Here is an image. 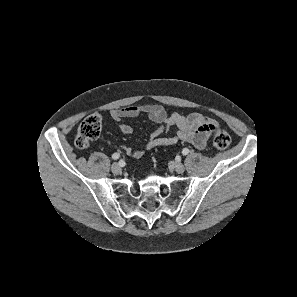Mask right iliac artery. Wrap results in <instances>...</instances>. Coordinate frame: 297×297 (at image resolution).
I'll return each mask as SVG.
<instances>
[{
    "label": "right iliac artery",
    "mask_w": 297,
    "mask_h": 297,
    "mask_svg": "<svg viewBox=\"0 0 297 297\" xmlns=\"http://www.w3.org/2000/svg\"><path fill=\"white\" fill-rule=\"evenodd\" d=\"M119 157H120V154H119V153H114V154L112 155V158H113L114 160H117Z\"/></svg>",
    "instance_id": "1"
}]
</instances>
